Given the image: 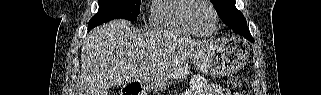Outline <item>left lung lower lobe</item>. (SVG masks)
<instances>
[{
    "mask_svg": "<svg viewBox=\"0 0 321 95\" xmlns=\"http://www.w3.org/2000/svg\"><path fill=\"white\" fill-rule=\"evenodd\" d=\"M237 34H239V35L245 37L246 39L254 42L253 37L250 35L249 29L242 30V31H240V32L237 33Z\"/></svg>",
    "mask_w": 321,
    "mask_h": 95,
    "instance_id": "obj_1",
    "label": "left lung lower lobe"
}]
</instances>
